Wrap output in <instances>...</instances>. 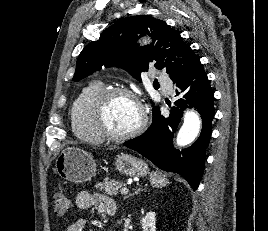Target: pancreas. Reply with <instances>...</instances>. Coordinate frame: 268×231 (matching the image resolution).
I'll return each mask as SVG.
<instances>
[{
	"label": "pancreas",
	"mask_w": 268,
	"mask_h": 231,
	"mask_svg": "<svg viewBox=\"0 0 268 231\" xmlns=\"http://www.w3.org/2000/svg\"><path fill=\"white\" fill-rule=\"evenodd\" d=\"M124 186L125 185L120 181L106 178L103 182L96 184L95 187L96 189L106 193L107 195L116 196L119 192V189Z\"/></svg>",
	"instance_id": "1"
}]
</instances>
